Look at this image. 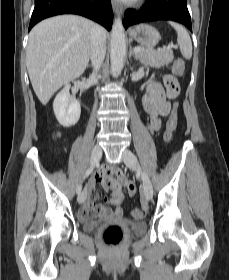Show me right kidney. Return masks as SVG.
<instances>
[{
	"label": "right kidney",
	"mask_w": 229,
	"mask_h": 280,
	"mask_svg": "<svg viewBox=\"0 0 229 280\" xmlns=\"http://www.w3.org/2000/svg\"><path fill=\"white\" fill-rule=\"evenodd\" d=\"M69 90L70 84H66L57 94L53 102L55 116L58 122L64 127L75 125L81 114L80 103L70 96Z\"/></svg>",
	"instance_id": "1"
}]
</instances>
